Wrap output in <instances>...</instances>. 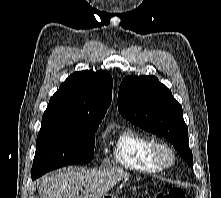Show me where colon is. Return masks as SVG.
Instances as JSON below:
<instances>
[{
    "instance_id": "1",
    "label": "colon",
    "mask_w": 221,
    "mask_h": 198,
    "mask_svg": "<svg viewBox=\"0 0 221 198\" xmlns=\"http://www.w3.org/2000/svg\"><path fill=\"white\" fill-rule=\"evenodd\" d=\"M154 198H185V193L180 188H171L166 192L156 193Z\"/></svg>"
}]
</instances>
